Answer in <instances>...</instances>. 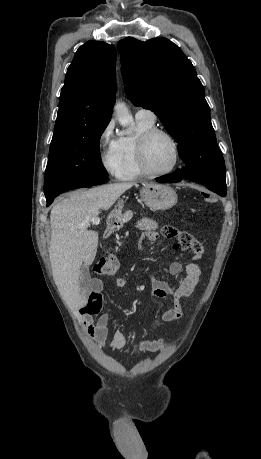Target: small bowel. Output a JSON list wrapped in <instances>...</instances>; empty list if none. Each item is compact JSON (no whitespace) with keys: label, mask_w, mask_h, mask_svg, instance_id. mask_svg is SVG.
Listing matches in <instances>:
<instances>
[{"label":"small bowel","mask_w":261,"mask_h":459,"mask_svg":"<svg viewBox=\"0 0 261 459\" xmlns=\"http://www.w3.org/2000/svg\"><path fill=\"white\" fill-rule=\"evenodd\" d=\"M172 230L174 233L172 236L168 237V239L174 241L173 249H190L193 253V257L192 260L185 266L178 261H174L168 267L164 268V274L172 276L178 275L184 269V277L176 284L170 285L157 276L151 277V293L153 297L162 300H166L170 296L175 297L172 306L160 313L161 319L166 322H174L183 317L184 312L182 302L192 294L198 284L200 269L197 261L203 255V245L197 238L175 228H172ZM147 237L151 242H155L159 235L154 231H149L147 232ZM126 283L127 280L125 277H118L115 281L117 288L124 287ZM93 288L95 293H101L103 283L100 280L95 279L93 281ZM108 322L109 315L107 313L99 316L96 321L90 317H86L83 320V329L85 333L89 335L100 347H103L106 342L108 335ZM127 343L128 339L126 335L122 331L117 330L113 333L109 347L112 350H118L125 347ZM166 344L167 341L165 339L151 340L137 338L134 342L137 349L146 352L161 351L165 348Z\"/></svg>","instance_id":"1"}]
</instances>
